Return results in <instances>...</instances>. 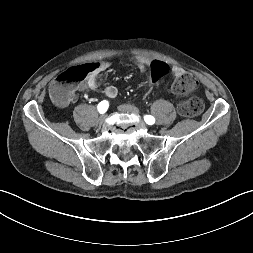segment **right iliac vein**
I'll use <instances>...</instances> for the list:
<instances>
[{
  "instance_id": "63e3f726",
  "label": "right iliac vein",
  "mask_w": 253,
  "mask_h": 253,
  "mask_svg": "<svg viewBox=\"0 0 253 253\" xmlns=\"http://www.w3.org/2000/svg\"><path fill=\"white\" fill-rule=\"evenodd\" d=\"M107 118V115L106 114H102L100 117H99V121L100 122H104Z\"/></svg>"
}]
</instances>
